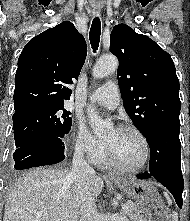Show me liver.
<instances>
[{
	"label": "liver",
	"instance_id": "6515ba94",
	"mask_svg": "<svg viewBox=\"0 0 190 221\" xmlns=\"http://www.w3.org/2000/svg\"><path fill=\"white\" fill-rule=\"evenodd\" d=\"M66 169L37 168L10 187L3 221H78L85 194L95 199L104 187L92 174L87 190H79Z\"/></svg>",
	"mask_w": 190,
	"mask_h": 221
}]
</instances>
